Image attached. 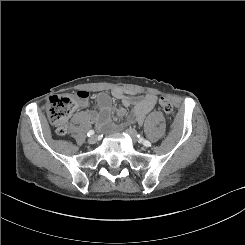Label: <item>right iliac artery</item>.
Segmentation results:
<instances>
[{
	"mask_svg": "<svg viewBox=\"0 0 245 245\" xmlns=\"http://www.w3.org/2000/svg\"><path fill=\"white\" fill-rule=\"evenodd\" d=\"M94 133H95L94 130H90L87 135L92 136V135H94Z\"/></svg>",
	"mask_w": 245,
	"mask_h": 245,
	"instance_id": "right-iliac-artery-1",
	"label": "right iliac artery"
}]
</instances>
